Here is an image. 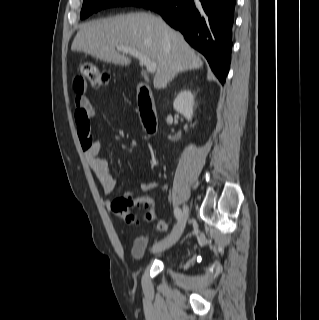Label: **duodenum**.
<instances>
[{"label":"duodenum","mask_w":319,"mask_h":320,"mask_svg":"<svg viewBox=\"0 0 319 320\" xmlns=\"http://www.w3.org/2000/svg\"><path fill=\"white\" fill-rule=\"evenodd\" d=\"M137 91L139 111L143 125L148 134L154 135L157 131V118L151 89L148 85L140 83L137 86Z\"/></svg>","instance_id":"obj_1"}]
</instances>
